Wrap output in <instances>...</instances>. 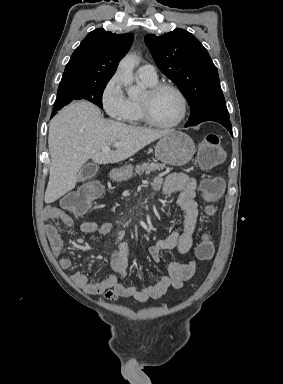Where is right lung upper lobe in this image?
<instances>
[{
  "mask_svg": "<svg viewBox=\"0 0 283 384\" xmlns=\"http://www.w3.org/2000/svg\"><path fill=\"white\" fill-rule=\"evenodd\" d=\"M133 39L130 33L113 34L102 28L90 32L73 52L60 86L107 83Z\"/></svg>",
  "mask_w": 283,
  "mask_h": 384,
  "instance_id": "1",
  "label": "right lung upper lobe"
}]
</instances>
